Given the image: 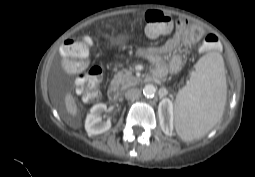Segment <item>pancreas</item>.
Instances as JSON below:
<instances>
[{
	"instance_id": "cf45deb5",
	"label": "pancreas",
	"mask_w": 255,
	"mask_h": 177,
	"mask_svg": "<svg viewBox=\"0 0 255 177\" xmlns=\"http://www.w3.org/2000/svg\"><path fill=\"white\" fill-rule=\"evenodd\" d=\"M139 82L137 77L132 76L130 73L122 71L114 75L111 85L117 89L125 90L131 86H135Z\"/></svg>"
}]
</instances>
